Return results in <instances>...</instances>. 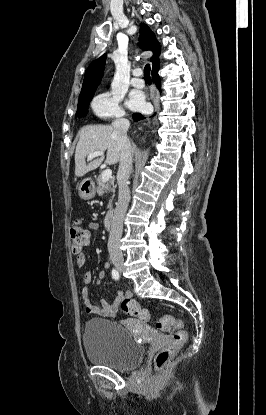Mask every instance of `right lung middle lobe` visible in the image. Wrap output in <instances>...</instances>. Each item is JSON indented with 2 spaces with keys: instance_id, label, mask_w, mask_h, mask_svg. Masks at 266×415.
<instances>
[{
  "instance_id": "dd1d6c3e",
  "label": "right lung middle lobe",
  "mask_w": 266,
  "mask_h": 415,
  "mask_svg": "<svg viewBox=\"0 0 266 415\" xmlns=\"http://www.w3.org/2000/svg\"><path fill=\"white\" fill-rule=\"evenodd\" d=\"M93 96H94V92L79 97L78 108H77L75 118L84 117L86 115L87 109H88V106H89V102H90V100L92 99Z\"/></svg>"
}]
</instances>
